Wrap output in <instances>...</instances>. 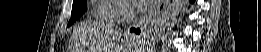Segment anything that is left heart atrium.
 <instances>
[{
  "instance_id": "left-heart-atrium-1",
  "label": "left heart atrium",
  "mask_w": 261,
  "mask_h": 52,
  "mask_svg": "<svg viewBox=\"0 0 261 52\" xmlns=\"http://www.w3.org/2000/svg\"><path fill=\"white\" fill-rule=\"evenodd\" d=\"M133 3L140 9H152L157 4V0H133Z\"/></svg>"
}]
</instances>
